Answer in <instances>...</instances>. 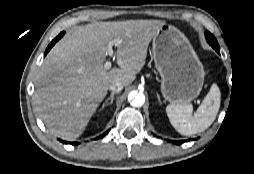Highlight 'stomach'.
<instances>
[{
    "instance_id": "1",
    "label": "stomach",
    "mask_w": 254,
    "mask_h": 174,
    "mask_svg": "<svg viewBox=\"0 0 254 174\" xmlns=\"http://www.w3.org/2000/svg\"><path fill=\"white\" fill-rule=\"evenodd\" d=\"M152 40L164 98L171 104L194 100L202 90L205 72L187 37L176 27L164 24Z\"/></svg>"
}]
</instances>
